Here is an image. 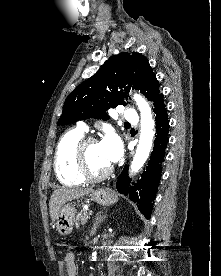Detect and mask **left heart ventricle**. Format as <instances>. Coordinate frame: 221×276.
Instances as JSON below:
<instances>
[{"instance_id": "obj_1", "label": "left heart ventricle", "mask_w": 221, "mask_h": 276, "mask_svg": "<svg viewBox=\"0 0 221 276\" xmlns=\"http://www.w3.org/2000/svg\"><path fill=\"white\" fill-rule=\"evenodd\" d=\"M87 159L91 170L95 173H101L110 166V163L103 156L98 142L91 143L87 147Z\"/></svg>"}]
</instances>
